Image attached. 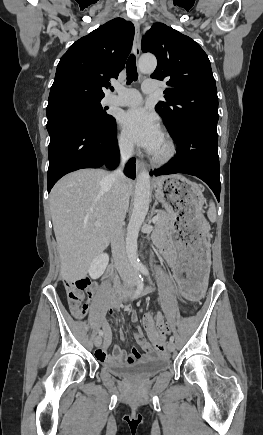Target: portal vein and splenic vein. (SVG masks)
<instances>
[{"label":"portal vein and splenic vein","mask_w":263,"mask_h":435,"mask_svg":"<svg viewBox=\"0 0 263 435\" xmlns=\"http://www.w3.org/2000/svg\"><path fill=\"white\" fill-rule=\"evenodd\" d=\"M158 219H159V215L155 216V217L152 219V223L155 224V223L158 221ZM95 225H96V226H100V223H99V222H96Z\"/></svg>","instance_id":"18ae733b"}]
</instances>
